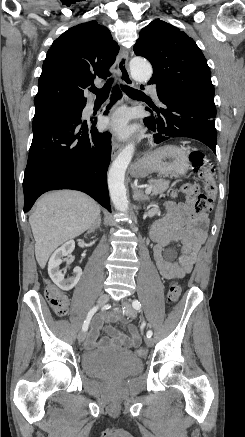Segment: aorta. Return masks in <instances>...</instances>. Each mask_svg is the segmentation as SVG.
<instances>
[{
  "label": "aorta",
  "instance_id": "1",
  "mask_svg": "<svg viewBox=\"0 0 245 437\" xmlns=\"http://www.w3.org/2000/svg\"><path fill=\"white\" fill-rule=\"evenodd\" d=\"M130 72L134 80L148 82L152 76L151 64L141 57L130 61ZM135 150L133 143L128 144L113 161L108 173V187L111 200L116 210L127 212L129 209L124 178L126 169L131 162Z\"/></svg>",
  "mask_w": 245,
  "mask_h": 437
}]
</instances>
